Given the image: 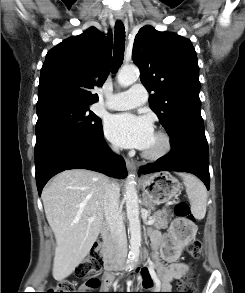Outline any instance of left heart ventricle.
<instances>
[{"label":"left heart ventricle","instance_id":"obj_1","mask_svg":"<svg viewBox=\"0 0 245 293\" xmlns=\"http://www.w3.org/2000/svg\"><path fill=\"white\" fill-rule=\"evenodd\" d=\"M161 147H162V141H161V139L156 134H154L151 142L149 143V145L147 146V148L144 149V150L145 151H148V152H156Z\"/></svg>","mask_w":245,"mask_h":293}]
</instances>
